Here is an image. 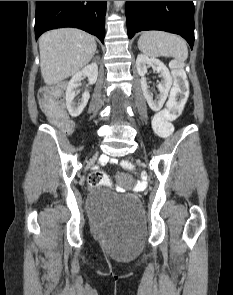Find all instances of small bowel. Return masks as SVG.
<instances>
[{"label": "small bowel", "instance_id": "small-bowel-1", "mask_svg": "<svg viewBox=\"0 0 233 295\" xmlns=\"http://www.w3.org/2000/svg\"><path fill=\"white\" fill-rule=\"evenodd\" d=\"M110 162H111V163H116L117 160H116V159H111ZM117 190L120 191V192H122V191H123V188L118 187Z\"/></svg>", "mask_w": 233, "mask_h": 295}]
</instances>
